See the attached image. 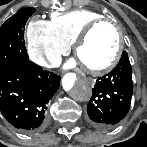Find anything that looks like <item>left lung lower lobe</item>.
Returning <instances> with one entry per match:
<instances>
[{"instance_id": "obj_1", "label": "left lung lower lobe", "mask_w": 147, "mask_h": 147, "mask_svg": "<svg viewBox=\"0 0 147 147\" xmlns=\"http://www.w3.org/2000/svg\"><path fill=\"white\" fill-rule=\"evenodd\" d=\"M132 92V68L124 52L118 65L96 81L87 105L88 122L102 130L116 126L129 111Z\"/></svg>"}]
</instances>
